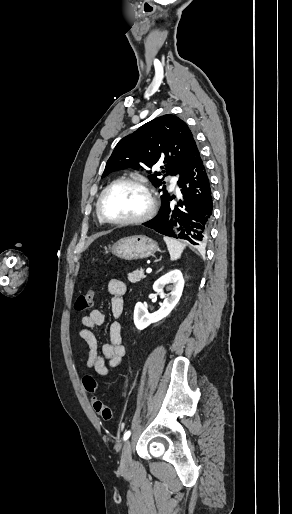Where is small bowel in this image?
Returning a JSON list of instances; mask_svg holds the SVG:
<instances>
[{"instance_id": "c3829d8e", "label": "small bowel", "mask_w": 292, "mask_h": 514, "mask_svg": "<svg viewBox=\"0 0 292 514\" xmlns=\"http://www.w3.org/2000/svg\"><path fill=\"white\" fill-rule=\"evenodd\" d=\"M107 290L111 295V312L114 317H120L123 313V296L126 293L125 283L117 278H112L107 283ZM105 321L104 314L98 310H92L82 317L81 322L85 328L78 331V336L88 346L86 367L93 369L96 374L106 376L112 369L119 366L126 355V348L122 344L121 323L114 321L109 326V341L102 345L99 351L98 340L92 330L99 329Z\"/></svg>"}]
</instances>
